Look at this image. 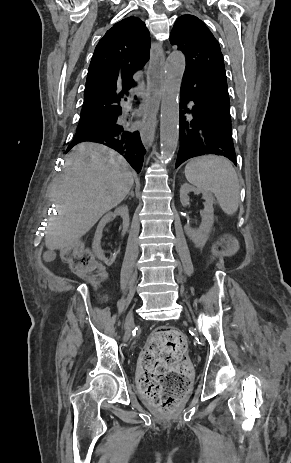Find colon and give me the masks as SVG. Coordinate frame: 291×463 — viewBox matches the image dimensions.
Here are the masks:
<instances>
[{"label": "colon", "instance_id": "colon-1", "mask_svg": "<svg viewBox=\"0 0 291 463\" xmlns=\"http://www.w3.org/2000/svg\"><path fill=\"white\" fill-rule=\"evenodd\" d=\"M233 240L224 237L216 246L218 253L229 251ZM62 260L80 277L98 284L104 270L92 252L78 243L62 250ZM186 337L177 329L163 327L149 339L140 357V387L143 396L163 413H172L190 385V369L185 355Z\"/></svg>", "mask_w": 291, "mask_h": 463}]
</instances>
